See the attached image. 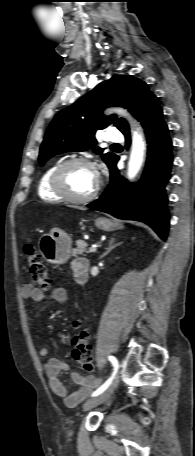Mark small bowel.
Masks as SVG:
<instances>
[{
    "label": "small bowel",
    "instance_id": "1",
    "mask_svg": "<svg viewBox=\"0 0 195 456\" xmlns=\"http://www.w3.org/2000/svg\"><path fill=\"white\" fill-rule=\"evenodd\" d=\"M82 259H76L72 263V269L75 273V268L78 262ZM22 295L26 299H30L36 303L44 301H54L64 303L68 299V291L64 287H55L50 292H44L40 289L25 285L22 288ZM39 355L46 358L44 371L49 379V387L53 393L62 397L68 407L77 406L84 398L90 394L100 384V380L94 376H83L78 372H71L72 380L79 385L78 389L72 394H68L67 389L59 378L61 372L69 371V365L58 358L49 357V351L46 347L39 349Z\"/></svg>",
    "mask_w": 195,
    "mask_h": 456
}]
</instances>
